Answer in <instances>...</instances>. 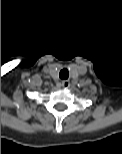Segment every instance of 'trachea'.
I'll use <instances>...</instances> for the list:
<instances>
[{
	"instance_id": "trachea-1",
	"label": "trachea",
	"mask_w": 122,
	"mask_h": 154,
	"mask_svg": "<svg viewBox=\"0 0 122 154\" xmlns=\"http://www.w3.org/2000/svg\"><path fill=\"white\" fill-rule=\"evenodd\" d=\"M59 77L61 79H68L69 77V71L67 69H62L59 73Z\"/></svg>"
}]
</instances>
